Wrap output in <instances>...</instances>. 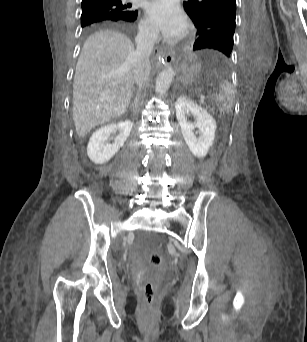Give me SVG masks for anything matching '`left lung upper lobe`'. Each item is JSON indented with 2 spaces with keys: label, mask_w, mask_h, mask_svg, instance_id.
<instances>
[{
  "label": "left lung upper lobe",
  "mask_w": 307,
  "mask_h": 342,
  "mask_svg": "<svg viewBox=\"0 0 307 342\" xmlns=\"http://www.w3.org/2000/svg\"><path fill=\"white\" fill-rule=\"evenodd\" d=\"M183 5L198 29L193 49H214L230 56L234 45L236 0H188Z\"/></svg>",
  "instance_id": "left-lung-upper-lobe-1"
}]
</instances>
